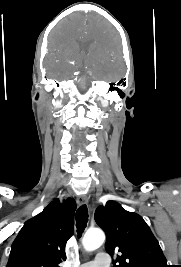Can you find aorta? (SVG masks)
<instances>
[{
	"label": "aorta",
	"mask_w": 181,
	"mask_h": 267,
	"mask_svg": "<svg viewBox=\"0 0 181 267\" xmlns=\"http://www.w3.org/2000/svg\"><path fill=\"white\" fill-rule=\"evenodd\" d=\"M105 241V234L100 229L88 230L82 240L83 247L86 251H94L99 248Z\"/></svg>",
	"instance_id": "762f6f07"
}]
</instances>
